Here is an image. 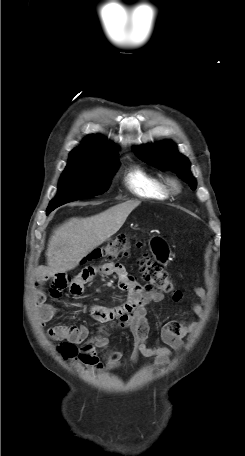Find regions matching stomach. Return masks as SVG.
<instances>
[{
    "mask_svg": "<svg viewBox=\"0 0 245 456\" xmlns=\"http://www.w3.org/2000/svg\"><path fill=\"white\" fill-rule=\"evenodd\" d=\"M150 250L153 256L161 263H167L170 257V249L166 242L156 237L151 241Z\"/></svg>",
    "mask_w": 245,
    "mask_h": 456,
    "instance_id": "obj_1",
    "label": "stomach"
}]
</instances>
